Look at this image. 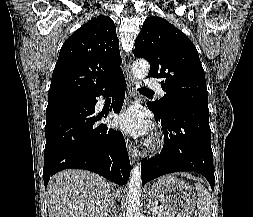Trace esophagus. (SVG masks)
I'll use <instances>...</instances> for the list:
<instances>
[{"instance_id":"1","label":"esophagus","mask_w":253,"mask_h":217,"mask_svg":"<svg viewBox=\"0 0 253 217\" xmlns=\"http://www.w3.org/2000/svg\"><path fill=\"white\" fill-rule=\"evenodd\" d=\"M129 67H130V63H129ZM127 89H128V98L132 99L133 97H135L136 95L135 80L130 72L127 75ZM127 146H128L129 158H130L131 163L133 164L136 161V158L138 156V150H137V147L129 140H127Z\"/></svg>"}]
</instances>
